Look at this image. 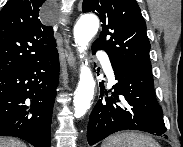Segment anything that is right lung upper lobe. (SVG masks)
<instances>
[{"instance_id":"cb5924a9","label":"right lung upper lobe","mask_w":183,"mask_h":147,"mask_svg":"<svg viewBox=\"0 0 183 147\" xmlns=\"http://www.w3.org/2000/svg\"><path fill=\"white\" fill-rule=\"evenodd\" d=\"M44 0H9L0 12V75L57 52L53 28L41 23Z\"/></svg>"}]
</instances>
